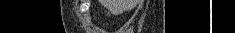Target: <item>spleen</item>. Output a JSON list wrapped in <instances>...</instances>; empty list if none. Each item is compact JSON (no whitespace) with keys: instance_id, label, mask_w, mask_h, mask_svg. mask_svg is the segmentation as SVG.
Listing matches in <instances>:
<instances>
[{"instance_id":"3e777b00","label":"spleen","mask_w":235,"mask_h":33,"mask_svg":"<svg viewBox=\"0 0 235 33\" xmlns=\"http://www.w3.org/2000/svg\"><path fill=\"white\" fill-rule=\"evenodd\" d=\"M129 8V6H126V9H128Z\"/></svg>"}]
</instances>
